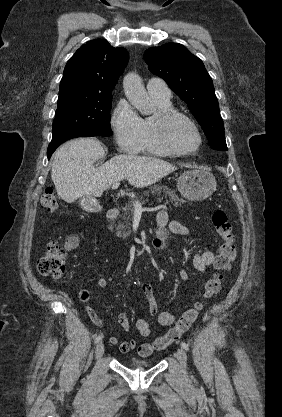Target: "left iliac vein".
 <instances>
[{"mask_svg": "<svg viewBox=\"0 0 282 417\" xmlns=\"http://www.w3.org/2000/svg\"><path fill=\"white\" fill-rule=\"evenodd\" d=\"M176 357L183 367L187 366V354L183 348L177 350Z\"/></svg>", "mask_w": 282, "mask_h": 417, "instance_id": "4c4485c4", "label": "left iliac vein"}]
</instances>
